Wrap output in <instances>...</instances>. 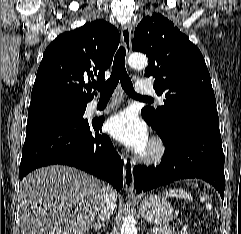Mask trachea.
Returning a JSON list of instances; mask_svg holds the SVG:
<instances>
[{"label": "trachea", "mask_w": 241, "mask_h": 234, "mask_svg": "<svg viewBox=\"0 0 241 234\" xmlns=\"http://www.w3.org/2000/svg\"><path fill=\"white\" fill-rule=\"evenodd\" d=\"M125 56V48L121 46L115 55L110 78L103 84L93 85L94 89L100 91L101 96L110 97L120 81L122 88L129 96L136 99L151 100V98L140 96L135 93L133 84L125 68Z\"/></svg>", "instance_id": "obj_1"}]
</instances>
